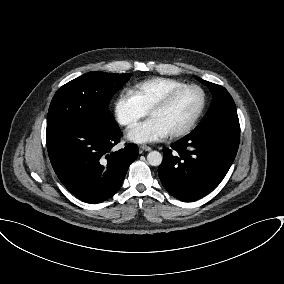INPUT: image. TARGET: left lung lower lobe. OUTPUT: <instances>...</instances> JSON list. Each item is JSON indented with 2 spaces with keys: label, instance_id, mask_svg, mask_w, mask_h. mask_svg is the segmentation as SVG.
<instances>
[{
  "label": "left lung lower lobe",
  "instance_id": "0a47b994",
  "mask_svg": "<svg viewBox=\"0 0 284 284\" xmlns=\"http://www.w3.org/2000/svg\"><path fill=\"white\" fill-rule=\"evenodd\" d=\"M239 123H219L192 133L163 150L158 169L165 189L175 198L198 200L222 181L236 156Z\"/></svg>",
  "mask_w": 284,
  "mask_h": 284
}]
</instances>
